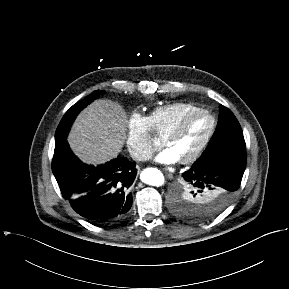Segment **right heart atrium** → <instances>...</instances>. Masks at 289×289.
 I'll use <instances>...</instances> for the list:
<instances>
[{"label":"right heart atrium","mask_w":289,"mask_h":289,"mask_svg":"<svg viewBox=\"0 0 289 289\" xmlns=\"http://www.w3.org/2000/svg\"><path fill=\"white\" fill-rule=\"evenodd\" d=\"M126 146L133 159L145 161L158 147L159 141L154 136L147 116L133 112L126 124Z\"/></svg>","instance_id":"right-heart-atrium-1"}]
</instances>
